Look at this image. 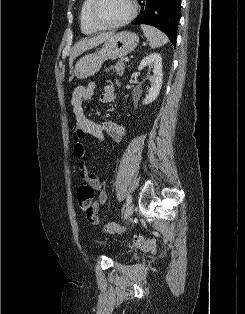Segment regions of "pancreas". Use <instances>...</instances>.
Wrapping results in <instances>:
<instances>
[{
    "mask_svg": "<svg viewBox=\"0 0 245 314\" xmlns=\"http://www.w3.org/2000/svg\"><path fill=\"white\" fill-rule=\"evenodd\" d=\"M125 69V62L124 59H120L115 66H111L109 69H106V71L113 70L115 71L119 76H122Z\"/></svg>",
    "mask_w": 245,
    "mask_h": 314,
    "instance_id": "obj_1",
    "label": "pancreas"
}]
</instances>
